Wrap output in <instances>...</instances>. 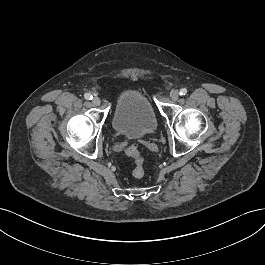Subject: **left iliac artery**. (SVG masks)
Listing matches in <instances>:
<instances>
[{"instance_id":"44dca946","label":"left iliac artery","mask_w":265,"mask_h":265,"mask_svg":"<svg viewBox=\"0 0 265 265\" xmlns=\"http://www.w3.org/2000/svg\"><path fill=\"white\" fill-rule=\"evenodd\" d=\"M187 93V90L185 88L181 89L179 94L182 96V95H186Z\"/></svg>"}]
</instances>
